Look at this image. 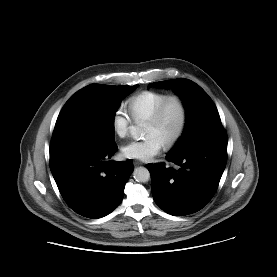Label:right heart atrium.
Masks as SVG:
<instances>
[{"label":"right heart atrium","instance_id":"d8ad5b80","mask_svg":"<svg viewBox=\"0 0 277 277\" xmlns=\"http://www.w3.org/2000/svg\"><path fill=\"white\" fill-rule=\"evenodd\" d=\"M111 124L114 133L123 138L129 133L132 119L125 110L119 108L114 112Z\"/></svg>","mask_w":277,"mask_h":277}]
</instances>
